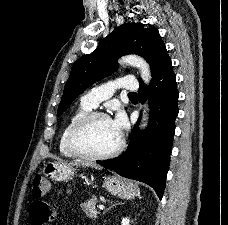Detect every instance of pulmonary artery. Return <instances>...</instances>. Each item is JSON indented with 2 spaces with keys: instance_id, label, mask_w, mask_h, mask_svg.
<instances>
[{
  "instance_id": "obj_1",
  "label": "pulmonary artery",
  "mask_w": 228,
  "mask_h": 225,
  "mask_svg": "<svg viewBox=\"0 0 228 225\" xmlns=\"http://www.w3.org/2000/svg\"><path fill=\"white\" fill-rule=\"evenodd\" d=\"M120 80H135V75H120ZM113 86V89H111ZM140 81H108L107 85H97V89L89 91L81 97V104L96 108L99 103L114 94L115 90H138Z\"/></svg>"
}]
</instances>
